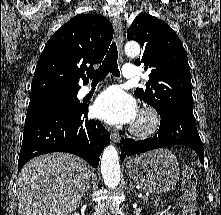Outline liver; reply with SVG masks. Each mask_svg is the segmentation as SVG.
Wrapping results in <instances>:
<instances>
[{
    "mask_svg": "<svg viewBox=\"0 0 221 215\" xmlns=\"http://www.w3.org/2000/svg\"><path fill=\"white\" fill-rule=\"evenodd\" d=\"M90 166L78 156L54 152L31 159L19 174V215H69L80 205Z\"/></svg>",
    "mask_w": 221,
    "mask_h": 215,
    "instance_id": "6515ba94",
    "label": "liver"
}]
</instances>
